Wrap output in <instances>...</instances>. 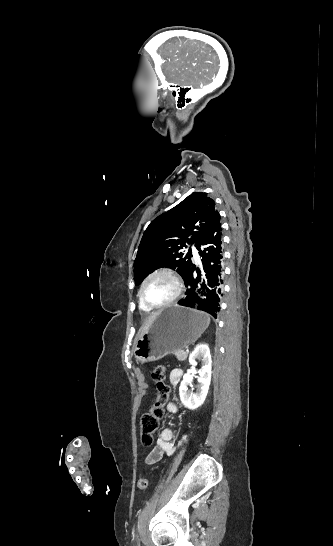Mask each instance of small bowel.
Segmentation results:
<instances>
[{"label": "small bowel", "instance_id": "1", "mask_svg": "<svg viewBox=\"0 0 333 546\" xmlns=\"http://www.w3.org/2000/svg\"><path fill=\"white\" fill-rule=\"evenodd\" d=\"M182 376L183 372L181 369H173L170 373V383L174 386L178 385L182 379ZM167 409L172 413H176L178 411V408L174 403H169L167 405ZM173 438L174 431L169 427L163 428L160 431L154 448L147 455L145 462L147 464H154L158 462L164 455L171 456L177 451V449L181 445H183L187 441L186 435L182 436L178 444H175L173 442Z\"/></svg>", "mask_w": 333, "mask_h": 546}]
</instances>
